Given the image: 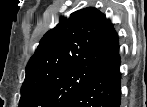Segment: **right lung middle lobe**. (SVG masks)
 Returning <instances> with one entry per match:
<instances>
[{
  "label": "right lung middle lobe",
  "mask_w": 147,
  "mask_h": 107,
  "mask_svg": "<svg viewBox=\"0 0 147 107\" xmlns=\"http://www.w3.org/2000/svg\"><path fill=\"white\" fill-rule=\"evenodd\" d=\"M98 70L76 67L26 76L21 87L19 107H63L90 82Z\"/></svg>",
  "instance_id": "right-lung-middle-lobe-1"
}]
</instances>
